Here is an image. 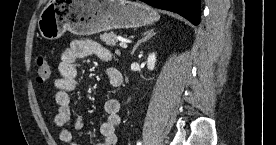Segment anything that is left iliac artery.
Here are the masks:
<instances>
[{"label":"left iliac artery","instance_id":"obj_1","mask_svg":"<svg viewBox=\"0 0 276 145\" xmlns=\"http://www.w3.org/2000/svg\"><path fill=\"white\" fill-rule=\"evenodd\" d=\"M137 145H141V142L139 141V142H137Z\"/></svg>","mask_w":276,"mask_h":145}]
</instances>
